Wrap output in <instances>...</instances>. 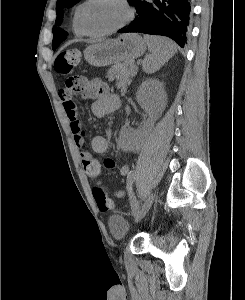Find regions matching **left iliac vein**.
Masks as SVG:
<instances>
[{"mask_svg": "<svg viewBox=\"0 0 245 300\" xmlns=\"http://www.w3.org/2000/svg\"><path fill=\"white\" fill-rule=\"evenodd\" d=\"M156 194L152 193L150 194V196L148 197V199L145 201V203L143 204L142 208L140 209V211L138 212V214L135 217V221L138 222L140 221L142 218H144V216L147 214V212L149 211V209L151 208L154 200H155Z\"/></svg>", "mask_w": 245, "mask_h": 300, "instance_id": "obj_1", "label": "left iliac vein"}]
</instances>
